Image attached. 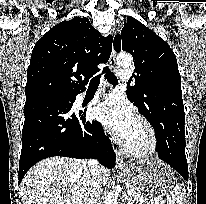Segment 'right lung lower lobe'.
<instances>
[{
  "mask_svg": "<svg viewBox=\"0 0 206 204\" xmlns=\"http://www.w3.org/2000/svg\"><path fill=\"white\" fill-rule=\"evenodd\" d=\"M76 95L26 99L19 183L34 164L52 156H96L107 168L115 166L116 155L102 125L98 121L86 122L85 112H72Z\"/></svg>",
  "mask_w": 206,
  "mask_h": 204,
  "instance_id": "98d812e1",
  "label": "right lung lower lobe"
}]
</instances>
